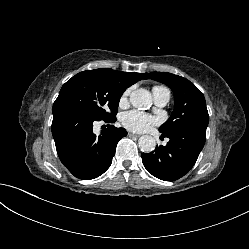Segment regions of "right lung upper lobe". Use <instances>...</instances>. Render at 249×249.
Masks as SVG:
<instances>
[{"label": "right lung upper lobe", "instance_id": "obj_1", "mask_svg": "<svg viewBox=\"0 0 249 249\" xmlns=\"http://www.w3.org/2000/svg\"><path fill=\"white\" fill-rule=\"evenodd\" d=\"M100 70L111 75L116 81H118L125 88H128L137 81H140L147 74V73H136V72H122V71L112 70L109 68L100 69Z\"/></svg>", "mask_w": 249, "mask_h": 249}]
</instances>
